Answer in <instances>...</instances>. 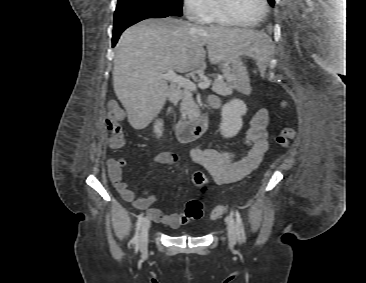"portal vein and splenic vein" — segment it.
<instances>
[{
    "label": "portal vein and splenic vein",
    "instance_id": "obj_1",
    "mask_svg": "<svg viewBox=\"0 0 366 283\" xmlns=\"http://www.w3.org/2000/svg\"><path fill=\"white\" fill-rule=\"evenodd\" d=\"M163 79L169 80L171 83H174L180 87H183L185 91H196L197 87L201 89H205L210 86L211 80L205 79L198 84L194 83L193 81L177 74L173 70H168L167 73L162 75Z\"/></svg>",
    "mask_w": 366,
    "mask_h": 283
}]
</instances>
